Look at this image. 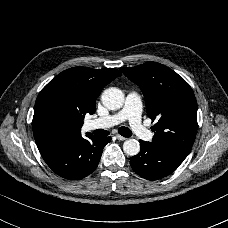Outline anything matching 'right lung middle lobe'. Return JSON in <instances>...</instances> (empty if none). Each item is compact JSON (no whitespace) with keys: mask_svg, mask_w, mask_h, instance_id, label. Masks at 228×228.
Instances as JSON below:
<instances>
[{"mask_svg":"<svg viewBox=\"0 0 228 228\" xmlns=\"http://www.w3.org/2000/svg\"><path fill=\"white\" fill-rule=\"evenodd\" d=\"M76 119L75 111L62 98L47 94L36 100L32 126L47 135H60Z\"/></svg>","mask_w":228,"mask_h":228,"instance_id":"obj_1","label":"right lung middle lobe"}]
</instances>
